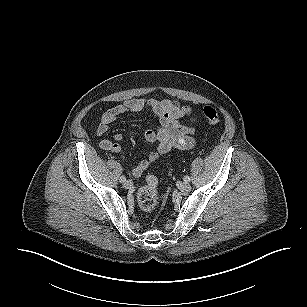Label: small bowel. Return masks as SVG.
<instances>
[{
    "mask_svg": "<svg viewBox=\"0 0 307 307\" xmlns=\"http://www.w3.org/2000/svg\"><path fill=\"white\" fill-rule=\"evenodd\" d=\"M150 110L158 120L157 129H148L144 133V138L148 143L156 144V149L147 153L146 159L135 165L131 173L134 177L140 176L147 170L158 158L174 149H190L194 146L193 134L194 128L180 124L179 119L182 117H191L192 110L190 107L180 104L178 101L171 99H130L122 104L108 109L101 117V121L96 128L98 136H103L119 116L128 112H138ZM123 135L117 133L113 140L103 139L100 146L103 150L115 154H121L122 148L119 144Z\"/></svg>",
    "mask_w": 307,
    "mask_h": 307,
    "instance_id": "1",
    "label": "small bowel"
}]
</instances>
